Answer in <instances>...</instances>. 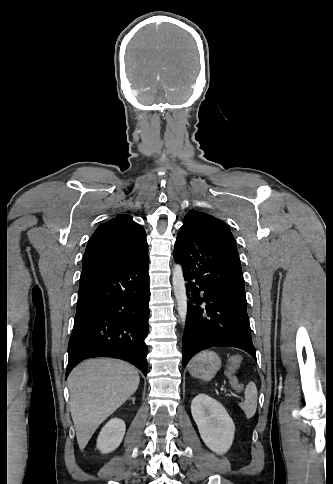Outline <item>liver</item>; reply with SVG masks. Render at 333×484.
Listing matches in <instances>:
<instances>
[{
  "mask_svg": "<svg viewBox=\"0 0 333 484\" xmlns=\"http://www.w3.org/2000/svg\"><path fill=\"white\" fill-rule=\"evenodd\" d=\"M139 382L137 370L116 359L86 360L71 371L70 411L81 450L99 425L136 392Z\"/></svg>",
  "mask_w": 333,
  "mask_h": 484,
  "instance_id": "1",
  "label": "liver"
}]
</instances>
